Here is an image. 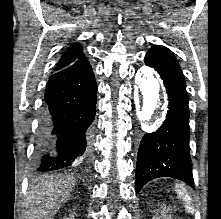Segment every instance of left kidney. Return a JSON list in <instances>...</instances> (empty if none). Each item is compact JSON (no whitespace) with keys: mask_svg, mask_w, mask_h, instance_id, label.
<instances>
[{"mask_svg":"<svg viewBox=\"0 0 221 219\" xmlns=\"http://www.w3.org/2000/svg\"><path fill=\"white\" fill-rule=\"evenodd\" d=\"M168 210L166 207L159 211L160 215L157 213L156 219H171V216L167 214Z\"/></svg>","mask_w":221,"mask_h":219,"instance_id":"obj_1","label":"left kidney"}]
</instances>
